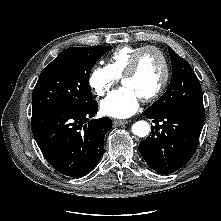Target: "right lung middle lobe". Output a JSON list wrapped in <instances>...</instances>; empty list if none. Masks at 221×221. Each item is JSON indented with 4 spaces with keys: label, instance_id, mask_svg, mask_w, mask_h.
<instances>
[{
    "label": "right lung middle lobe",
    "instance_id": "dd1d6c3e",
    "mask_svg": "<svg viewBox=\"0 0 221 221\" xmlns=\"http://www.w3.org/2000/svg\"><path fill=\"white\" fill-rule=\"evenodd\" d=\"M111 46L72 47L62 51L40 74L32 93V112L92 103L89 75Z\"/></svg>",
    "mask_w": 221,
    "mask_h": 221
}]
</instances>
